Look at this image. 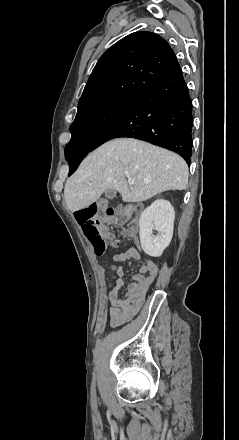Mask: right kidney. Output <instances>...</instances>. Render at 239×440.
<instances>
[{
    "label": "right kidney",
    "instance_id": "right-kidney-1",
    "mask_svg": "<svg viewBox=\"0 0 239 440\" xmlns=\"http://www.w3.org/2000/svg\"><path fill=\"white\" fill-rule=\"evenodd\" d=\"M175 212L167 200H155L142 212L139 220L140 242L146 257H157L170 247L173 236ZM152 230L158 232L153 236Z\"/></svg>",
    "mask_w": 239,
    "mask_h": 440
}]
</instances>
